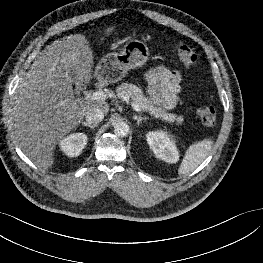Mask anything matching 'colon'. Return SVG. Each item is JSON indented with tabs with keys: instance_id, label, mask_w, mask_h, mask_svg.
<instances>
[{
	"instance_id": "1",
	"label": "colon",
	"mask_w": 263,
	"mask_h": 263,
	"mask_svg": "<svg viewBox=\"0 0 263 263\" xmlns=\"http://www.w3.org/2000/svg\"><path fill=\"white\" fill-rule=\"evenodd\" d=\"M178 56L182 64L186 67L194 66L197 62V54L195 50L184 43L178 45ZM196 114L200 121L206 126H212L217 119V110L211 104H202L197 110Z\"/></svg>"
}]
</instances>
